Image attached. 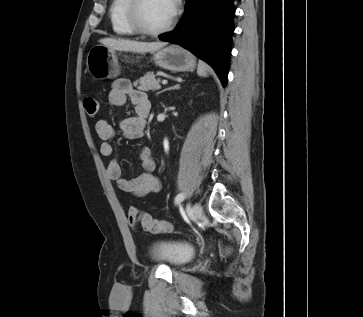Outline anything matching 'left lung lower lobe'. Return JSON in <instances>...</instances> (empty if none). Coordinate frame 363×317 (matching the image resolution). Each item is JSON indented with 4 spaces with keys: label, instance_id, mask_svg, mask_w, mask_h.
Returning a JSON list of instances; mask_svg holds the SVG:
<instances>
[{
    "label": "left lung lower lobe",
    "instance_id": "obj_1",
    "mask_svg": "<svg viewBox=\"0 0 363 317\" xmlns=\"http://www.w3.org/2000/svg\"><path fill=\"white\" fill-rule=\"evenodd\" d=\"M234 14L233 0H186L178 26L159 38L179 44L206 61L225 86Z\"/></svg>",
    "mask_w": 363,
    "mask_h": 317
}]
</instances>
